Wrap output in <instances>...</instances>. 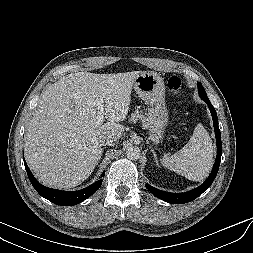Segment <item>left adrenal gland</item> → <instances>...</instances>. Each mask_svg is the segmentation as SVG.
I'll list each match as a JSON object with an SVG mask.
<instances>
[{"instance_id":"1","label":"left adrenal gland","mask_w":253,"mask_h":253,"mask_svg":"<svg viewBox=\"0 0 253 253\" xmlns=\"http://www.w3.org/2000/svg\"><path fill=\"white\" fill-rule=\"evenodd\" d=\"M151 151H152V153H153V155H154V160H155V162H156L157 166H159V163H158V159H157L156 152L154 151V149H151Z\"/></svg>"}]
</instances>
